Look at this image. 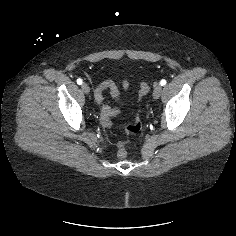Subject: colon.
Wrapping results in <instances>:
<instances>
[{
	"label": "colon",
	"instance_id": "5ec220e1",
	"mask_svg": "<svg viewBox=\"0 0 236 236\" xmlns=\"http://www.w3.org/2000/svg\"><path fill=\"white\" fill-rule=\"evenodd\" d=\"M148 89H149L148 85L145 82L141 83L140 90H139L140 96L142 97L145 94H147ZM141 129H142V120L139 116H137L131 124L125 127V133L134 134V133L139 132ZM117 155L119 158H122V159L127 156V150L123 146V144L120 145V147L118 148Z\"/></svg>",
	"mask_w": 236,
	"mask_h": 236
}]
</instances>
